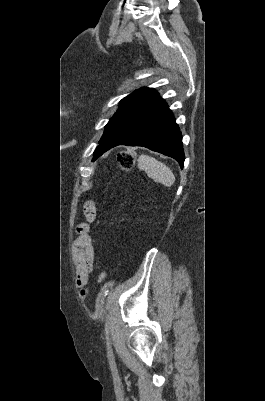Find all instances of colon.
Returning a JSON list of instances; mask_svg holds the SVG:
<instances>
[{
    "instance_id": "colon-1",
    "label": "colon",
    "mask_w": 265,
    "mask_h": 401,
    "mask_svg": "<svg viewBox=\"0 0 265 401\" xmlns=\"http://www.w3.org/2000/svg\"><path fill=\"white\" fill-rule=\"evenodd\" d=\"M135 160H136V154L133 151H125L118 155V162L120 168L124 172H129L133 169ZM105 278H106L105 272L102 271L98 274L99 282H104Z\"/></svg>"
}]
</instances>
